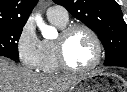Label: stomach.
I'll return each mask as SVG.
<instances>
[{
  "label": "stomach",
  "instance_id": "stomach-1",
  "mask_svg": "<svg viewBox=\"0 0 127 92\" xmlns=\"http://www.w3.org/2000/svg\"><path fill=\"white\" fill-rule=\"evenodd\" d=\"M124 81L115 74L106 72H91L83 76L71 92H123Z\"/></svg>",
  "mask_w": 127,
  "mask_h": 92
}]
</instances>
